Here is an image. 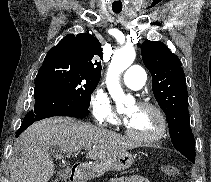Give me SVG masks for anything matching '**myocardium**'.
I'll list each match as a JSON object with an SVG mask.
<instances>
[{
  "label": "myocardium",
  "instance_id": "myocardium-1",
  "mask_svg": "<svg viewBox=\"0 0 211 182\" xmlns=\"http://www.w3.org/2000/svg\"><path fill=\"white\" fill-rule=\"evenodd\" d=\"M138 107L141 108H148L153 110L158 118H159V122H160V126L158 131L149 137H140L138 135H136L134 132H132L130 130V128L128 127L127 124H125V132L126 134L133 139L134 141L140 143V144H144V145H151L154 144L156 142H158L159 140H161L165 134L167 133L168 130V120L167 117L165 115V113L163 112V110L156 104L152 103V102H140L137 105Z\"/></svg>",
  "mask_w": 211,
  "mask_h": 182
}]
</instances>
